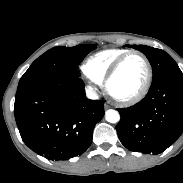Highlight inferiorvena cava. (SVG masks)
Here are the masks:
<instances>
[{
  "label": "inferior vena cava",
  "instance_id": "1",
  "mask_svg": "<svg viewBox=\"0 0 183 183\" xmlns=\"http://www.w3.org/2000/svg\"><path fill=\"white\" fill-rule=\"evenodd\" d=\"M86 96H87V98L92 99V100H95V99L99 98L98 94L96 93L95 90H93L92 87H88L86 89Z\"/></svg>",
  "mask_w": 183,
  "mask_h": 183
}]
</instances>
